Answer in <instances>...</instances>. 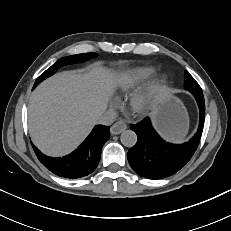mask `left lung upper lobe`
<instances>
[{"label": "left lung upper lobe", "instance_id": "1", "mask_svg": "<svg viewBox=\"0 0 231 231\" xmlns=\"http://www.w3.org/2000/svg\"><path fill=\"white\" fill-rule=\"evenodd\" d=\"M185 88L189 90L195 98H204L199 84L187 71L185 72Z\"/></svg>", "mask_w": 231, "mask_h": 231}]
</instances>
